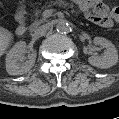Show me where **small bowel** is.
Listing matches in <instances>:
<instances>
[{"label": "small bowel", "instance_id": "1", "mask_svg": "<svg viewBox=\"0 0 119 119\" xmlns=\"http://www.w3.org/2000/svg\"><path fill=\"white\" fill-rule=\"evenodd\" d=\"M81 13L102 28H110L119 20V7L99 0H79L76 2Z\"/></svg>", "mask_w": 119, "mask_h": 119}]
</instances>
